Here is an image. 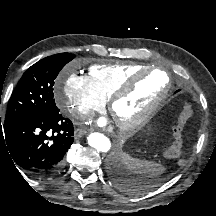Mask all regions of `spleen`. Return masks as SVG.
<instances>
[{
  "instance_id": "1",
  "label": "spleen",
  "mask_w": 216,
  "mask_h": 216,
  "mask_svg": "<svg viewBox=\"0 0 216 216\" xmlns=\"http://www.w3.org/2000/svg\"><path fill=\"white\" fill-rule=\"evenodd\" d=\"M122 161L125 167L134 174L145 177H153L164 172V167L161 164L133 158L128 154L122 155Z\"/></svg>"
}]
</instances>
